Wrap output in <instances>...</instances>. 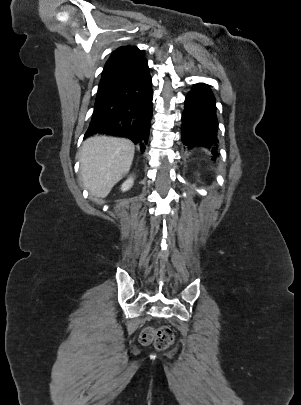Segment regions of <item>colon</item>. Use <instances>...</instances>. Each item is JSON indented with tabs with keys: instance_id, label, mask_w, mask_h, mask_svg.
Masks as SVG:
<instances>
[{
	"instance_id": "colon-1",
	"label": "colon",
	"mask_w": 301,
	"mask_h": 405,
	"mask_svg": "<svg viewBox=\"0 0 301 405\" xmlns=\"http://www.w3.org/2000/svg\"><path fill=\"white\" fill-rule=\"evenodd\" d=\"M142 345H153L157 350H165L174 342L173 331L166 326L159 328H145L140 335Z\"/></svg>"
}]
</instances>
